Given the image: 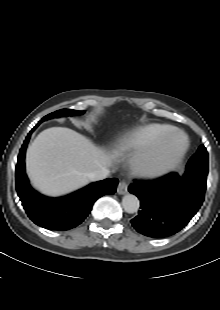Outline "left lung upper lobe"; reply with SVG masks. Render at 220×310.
Here are the masks:
<instances>
[{
  "label": "left lung upper lobe",
  "instance_id": "5c2ea615",
  "mask_svg": "<svg viewBox=\"0 0 220 310\" xmlns=\"http://www.w3.org/2000/svg\"><path fill=\"white\" fill-rule=\"evenodd\" d=\"M186 171L208 173V153L204 145H201L197 152L190 158Z\"/></svg>",
  "mask_w": 220,
  "mask_h": 310
}]
</instances>
